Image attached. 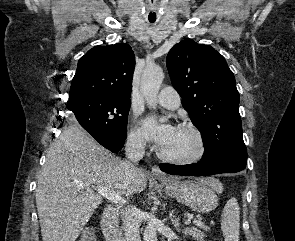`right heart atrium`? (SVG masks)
Wrapping results in <instances>:
<instances>
[{"mask_svg": "<svg viewBox=\"0 0 295 241\" xmlns=\"http://www.w3.org/2000/svg\"><path fill=\"white\" fill-rule=\"evenodd\" d=\"M128 139H129V143L137 149H143L146 145L144 135L141 129L138 127H134L131 130Z\"/></svg>", "mask_w": 295, "mask_h": 241, "instance_id": "right-heart-atrium-1", "label": "right heart atrium"}]
</instances>
